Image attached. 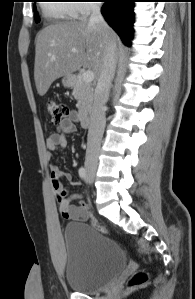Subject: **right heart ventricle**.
Here are the masks:
<instances>
[{"label":"right heart ventricle","instance_id":"1","mask_svg":"<svg viewBox=\"0 0 195 299\" xmlns=\"http://www.w3.org/2000/svg\"><path fill=\"white\" fill-rule=\"evenodd\" d=\"M44 5V14L52 22H64L74 17L73 3L51 1Z\"/></svg>","mask_w":195,"mask_h":299}]
</instances>
